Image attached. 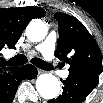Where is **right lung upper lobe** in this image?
Segmentation results:
<instances>
[{"instance_id":"cb5924a9","label":"right lung upper lobe","mask_w":103,"mask_h":103,"mask_svg":"<svg viewBox=\"0 0 103 103\" xmlns=\"http://www.w3.org/2000/svg\"><path fill=\"white\" fill-rule=\"evenodd\" d=\"M44 15L45 10L39 7L0 8V51L3 47L13 48L28 23ZM1 67L0 75L15 69Z\"/></svg>"}]
</instances>
